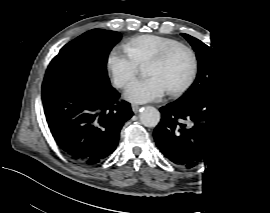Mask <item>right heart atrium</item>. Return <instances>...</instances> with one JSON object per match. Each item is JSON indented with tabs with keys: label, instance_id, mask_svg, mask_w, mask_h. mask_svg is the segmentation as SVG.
<instances>
[{
	"label": "right heart atrium",
	"instance_id": "obj_1",
	"mask_svg": "<svg viewBox=\"0 0 270 213\" xmlns=\"http://www.w3.org/2000/svg\"><path fill=\"white\" fill-rule=\"evenodd\" d=\"M108 67L112 73L115 84L119 87H126L137 77L139 67L128 56L121 55L114 51L108 60Z\"/></svg>",
	"mask_w": 270,
	"mask_h": 213
}]
</instances>
